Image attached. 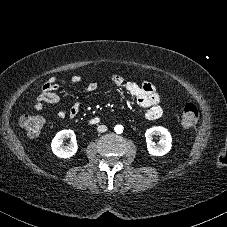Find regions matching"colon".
Here are the masks:
<instances>
[{"mask_svg": "<svg viewBox=\"0 0 227 227\" xmlns=\"http://www.w3.org/2000/svg\"><path fill=\"white\" fill-rule=\"evenodd\" d=\"M199 118L197 107L193 103H187L180 115V125L184 129L193 128ZM46 124V120L41 116L25 115L20 118V125L24 131L31 136L41 132Z\"/></svg>", "mask_w": 227, "mask_h": 227, "instance_id": "colon-1", "label": "colon"}]
</instances>
